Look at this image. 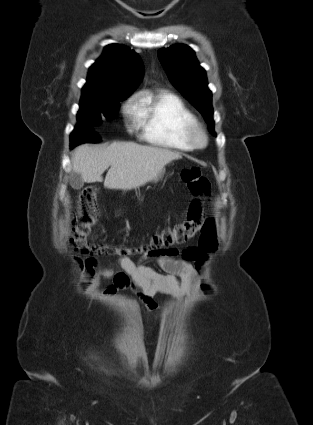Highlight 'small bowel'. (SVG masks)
<instances>
[{
    "mask_svg": "<svg viewBox=\"0 0 313 425\" xmlns=\"http://www.w3.org/2000/svg\"><path fill=\"white\" fill-rule=\"evenodd\" d=\"M177 254V250L164 251L158 255L143 254L137 263L128 256L121 257L119 260L121 272L101 269L91 276L89 286L94 289L99 285L101 278H113V283L104 291L105 294L111 295L120 290L131 289L143 302L144 310L153 311L158 306L156 295L181 297L196 288L194 266L186 259H174ZM150 257L156 258L163 273L143 264Z\"/></svg>",
    "mask_w": 313,
    "mask_h": 425,
    "instance_id": "small-bowel-1",
    "label": "small bowel"
}]
</instances>
